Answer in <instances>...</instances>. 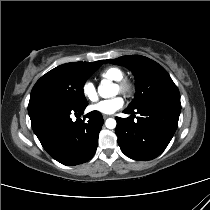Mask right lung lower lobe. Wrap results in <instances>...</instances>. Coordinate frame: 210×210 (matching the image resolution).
<instances>
[{
    "label": "right lung lower lobe",
    "instance_id": "1",
    "mask_svg": "<svg viewBox=\"0 0 210 210\" xmlns=\"http://www.w3.org/2000/svg\"><path fill=\"white\" fill-rule=\"evenodd\" d=\"M86 106L50 105L29 113L32 129L43 148L64 165L87 162L96 152L103 125L101 113L92 111L75 122L70 118L71 113L82 114Z\"/></svg>",
    "mask_w": 210,
    "mask_h": 210
}]
</instances>
